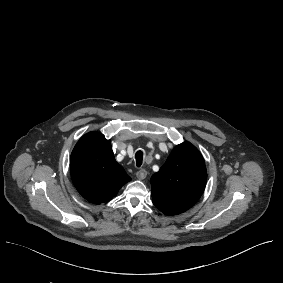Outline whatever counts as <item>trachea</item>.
Listing matches in <instances>:
<instances>
[{
  "instance_id": "1",
  "label": "trachea",
  "mask_w": 283,
  "mask_h": 283,
  "mask_svg": "<svg viewBox=\"0 0 283 283\" xmlns=\"http://www.w3.org/2000/svg\"><path fill=\"white\" fill-rule=\"evenodd\" d=\"M135 158H136V166L140 167L142 165V162H143V152L137 151L136 154H135Z\"/></svg>"
}]
</instances>
